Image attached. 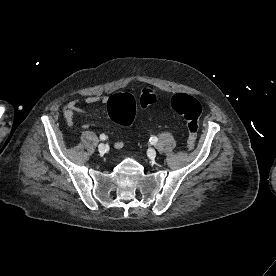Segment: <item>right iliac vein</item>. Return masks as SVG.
<instances>
[{"label": "right iliac vein", "instance_id": "63e3f726", "mask_svg": "<svg viewBox=\"0 0 276 276\" xmlns=\"http://www.w3.org/2000/svg\"><path fill=\"white\" fill-rule=\"evenodd\" d=\"M98 150H99V152L101 153V154H103L104 152H105V150H106V147H105V145L104 144H99L98 145Z\"/></svg>", "mask_w": 276, "mask_h": 276}]
</instances>
